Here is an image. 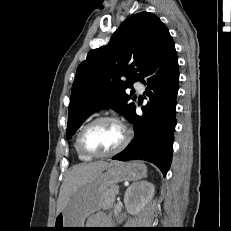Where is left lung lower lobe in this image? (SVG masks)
<instances>
[{
	"label": "left lung lower lobe",
	"instance_id": "1",
	"mask_svg": "<svg viewBox=\"0 0 231 231\" xmlns=\"http://www.w3.org/2000/svg\"><path fill=\"white\" fill-rule=\"evenodd\" d=\"M141 81L148 83L145 93L150 97V104L142 108L143 117L137 116L134 110L129 119L134 125V139L112 159L146 160L154 163L166 175L172 161L179 82L177 54L170 34Z\"/></svg>",
	"mask_w": 231,
	"mask_h": 231
}]
</instances>
